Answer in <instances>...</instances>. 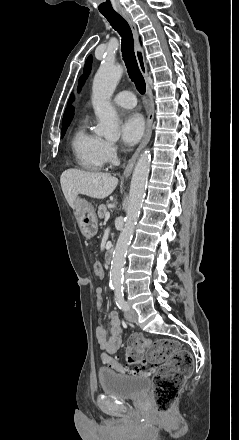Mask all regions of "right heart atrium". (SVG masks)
Instances as JSON below:
<instances>
[{"instance_id":"d8ad5b80","label":"right heart atrium","mask_w":239,"mask_h":440,"mask_svg":"<svg viewBox=\"0 0 239 440\" xmlns=\"http://www.w3.org/2000/svg\"><path fill=\"white\" fill-rule=\"evenodd\" d=\"M101 152L106 163H112L116 155V146L110 141L102 140Z\"/></svg>"}]
</instances>
